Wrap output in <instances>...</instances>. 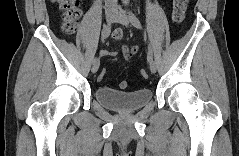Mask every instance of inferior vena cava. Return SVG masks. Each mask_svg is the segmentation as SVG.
<instances>
[{
  "label": "inferior vena cava",
  "mask_w": 239,
  "mask_h": 156,
  "mask_svg": "<svg viewBox=\"0 0 239 156\" xmlns=\"http://www.w3.org/2000/svg\"><path fill=\"white\" fill-rule=\"evenodd\" d=\"M108 2H111L112 4H116L117 0H107Z\"/></svg>",
  "instance_id": "inferior-vena-cava-1"
}]
</instances>
